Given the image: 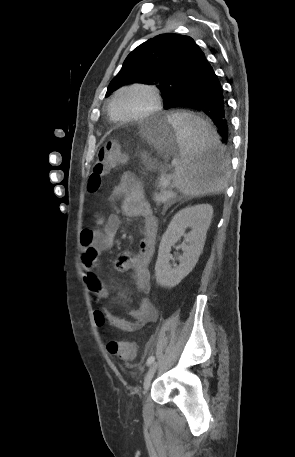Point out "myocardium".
<instances>
[{
    "mask_svg": "<svg viewBox=\"0 0 295 457\" xmlns=\"http://www.w3.org/2000/svg\"><path fill=\"white\" fill-rule=\"evenodd\" d=\"M133 89H139L146 91L152 100L151 106L145 110L144 112L131 116V117H118L115 112H114V102L116 98L123 92L128 91V90H133ZM162 106V99L159 90L154 86L150 84H144V83H134L130 84L124 87L119 88L114 95L112 96L109 105H108V112L110 117L117 122H134V121H140V120H145L154 114H156Z\"/></svg>",
    "mask_w": 295,
    "mask_h": 457,
    "instance_id": "f54148a6",
    "label": "myocardium"
}]
</instances>
